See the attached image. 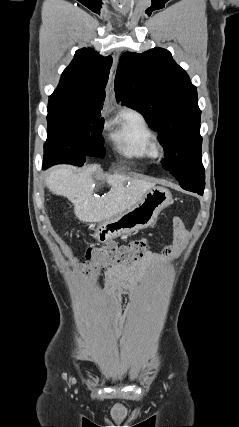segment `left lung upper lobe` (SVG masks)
<instances>
[{
	"label": "left lung upper lobe",
	"instance_id": "left-lung-upper-lobe-1",
	"mask_svg": "<svg viewBox=\"0 0 239 427\" xmlns=\"http://www.w3.org/2000/svg\"><path fill=\"white\" fill-rule=\"evenodd\" d=\"M115 92L118 102L137 109L158 132L165 148L163 166L179 184L190 183L204 173L197 90L168 50L124 53Z\"/></svg>",
	"mask_w": 239,
	"mask_h": 427
}]
</instances>
